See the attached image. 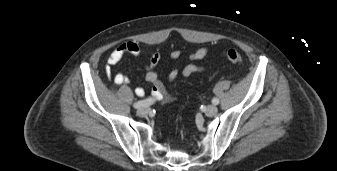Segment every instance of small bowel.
<instances>
[{
    "mask_svg": "<svg viewBox=\"0 0 337 171\" xmlns=\"http://www.w3.org/2000/svg\"><path fill=\"white\" fill-rule=\"evenodd\" d=\"M125 54H131L135 57H140L142 50L140 46L133 41L123 42L118 45L109 55L106 66L105 73L107 77L112 80L117 85H126L129 83V78L122 72L112 73L111 67L118 64ZM209 54V48L207 46H202L196 51L188 56L190 61H197L205 58ZM182 51L180 49H175L170 52L169 57L172 60H177L181 57ZM161 54L159 51H154L149 56L148 62L146 64V74L145 79L152 84L151 95L158 101L169 102L172 100V96L166 90L164 84L159 79V72L157 66L160 62ZM204 70L203 66L195 64H187L182 69L174 68L172 69L167 80L169 82H174L177 77L181 74L184 77H190L195 73L202 72ZM135 94L137 96H144L145 90L142 87H137L135 89Z\"/></svg>",
    "mask_w": 337,
    "mask_h": 171,
    "instance_id": "c3829d8e",
    "label": "small bowel"
}]
</instances>
